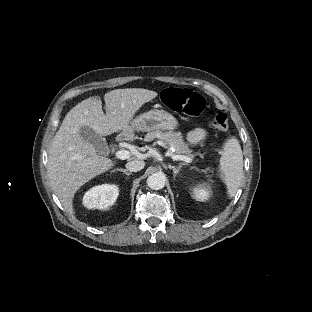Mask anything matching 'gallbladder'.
I'll use <instances>...</instances> for the list:
<instances>
[{
	"label": "gallbladder",
	"mask_w": 312,
	"mask_h": 312,
	"mask_svg": "<svg viewBox=\"0 0 312 312\" xmlns=\"http://www.w3.org/2000/svg\"><path fill=\"white\" fill-rule=\"evenodd\" d=\"M80 136L85 142L92 145L98 153L102 155H108L110 153V149L106 144L105 139L92 128L86 127L81 129Z\"/></svg>",
	"instance_id": "1"
}]
</instances>
